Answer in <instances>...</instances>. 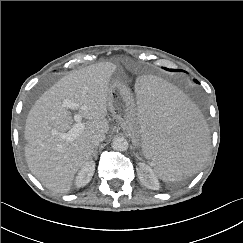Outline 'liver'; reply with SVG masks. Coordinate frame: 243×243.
Instances as JSON below:
<instances>
[{
	"mask_svg": "<svg viewBox=\"0 0 243 243\" xmlns=\"http://www.w3.org/2000/svg\"><path fill=\"white\" fill-rule=\"evenodd\" d=\"M117 66L102 62L73 71L47 90L31 108L25 125V157L31 173L48 189L68 193L75 174L94 152L92 137L107 133L109 87ZM69 99L87 119L85 129L73 141L62 139L73 122L63 106Z\"/></svg>",
	"mask_w": 243,
	"mask_h": 243,
	"instance_id": "1",
	"label": "liver"
}]
</instances>
